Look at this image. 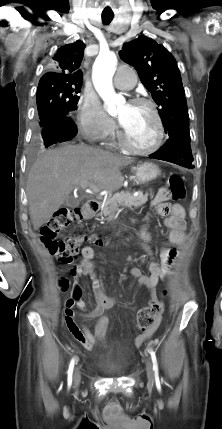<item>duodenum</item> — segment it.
<instances>
[{
  "instance_id": "1",
  "label": "duodenum",
  "mask_w": 222,
  "mask_h": 429,
  "mask_svg": "<svg viewBox=\"0 0 222 429\" xmlns=\"http://www.w3.org/2000/svg\"><path fill=\"white\" fill-rule=\"evenodd\" d=\"M100 209V203L96 200H88L83 207V215L90 217Z\"/></svg>"
}]
</instances>
